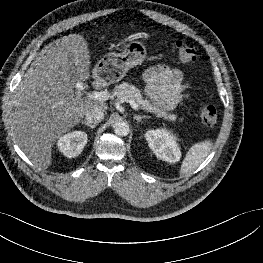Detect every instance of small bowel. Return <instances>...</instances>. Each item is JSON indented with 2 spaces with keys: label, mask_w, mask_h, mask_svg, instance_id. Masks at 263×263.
Segmentation results:
<instances>
[{
  "label": "small bowel",
  "mask_w": 263,
  "mask_h": 263,
  "mask_svg": "<svg viewBox=\"0 0 263 263\" xmlns=\"http://www.w3.org/2000/svg\"><path fill=\"white\" fill-rule=\"evenodd\" d=\"M144 81L147 95L164 109H172L189 97V85L179 69L166 65L150 67L144 73Z\"/></svg>",
  "instance_id": "1"
}]
</instances>
